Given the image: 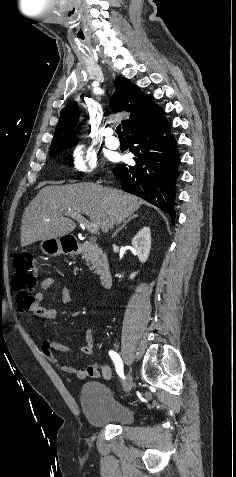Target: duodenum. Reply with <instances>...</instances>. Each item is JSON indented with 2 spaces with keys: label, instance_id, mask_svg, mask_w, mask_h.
Returning <instances> with one entry per match:
<instances>
[{
  "label": "duodenum",
  "instance_id": "410a0bca",
  "mask_svg": "<svg viewBox=\"0 0 236 477\" xmlns=\"http://www.w3.org/2000/svg\"><path fill=\"white\" fill-rule=\"evenodd\" d=\"M64 248L66 250H73L75 252H78L81 248L80 243L75 240V239H65V244ZM112 271L109 266H104L101 269V274H100V284L104 288H109L112 285Z\"/></svg>",
  "mask_w": 236,
  "mask_h": 477
}]
</instances>
